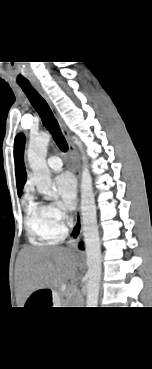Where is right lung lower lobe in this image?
Returning a JSON list of instances; mask_svg holds the SVG:
<instances>
[{
  "mask_svg": "<svg viewBox=\"0 0 152 369\" xmlns=\"http://www.w3.org/2000/svg\"><path fill=\"white\" fill-rule=\"evenodd\" d=\"M79 248L80 249H83L82 243L79 244Z\"/></svg>",
  "mask_w": 152,
  "mask_h": 369,
  "instance_id": "98d812e1",
  "label": "right lung lower lobe"
}]
</instances>
